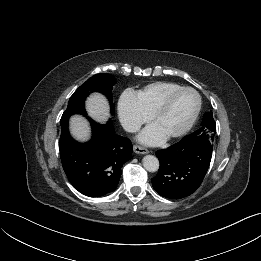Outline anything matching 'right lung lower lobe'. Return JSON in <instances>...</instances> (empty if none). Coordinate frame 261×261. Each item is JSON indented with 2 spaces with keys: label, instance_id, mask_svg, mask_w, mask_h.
I'll return each instance as SVG.
<instances>
[{
  "label": "right lung lower lobe",
  "instance_id": "98d812e1",
  "mask_svg": "<svg viewBox=\"0 0 261 261\" xmlns=\"http://www.w3.org/2000/svg\"><path fill=\"white\" fill-rule=\"evenodd\" d=\"M89 121L93 136L85 144L71 138L68 123L61 125L60 157L71 184L86 196L100 197L117 188L121 168L132 158V144L115 134L111 121L105 125Z\"/></svg>",
  "mask_w": 261,
  "mask_h": 261
}]
</instances>
